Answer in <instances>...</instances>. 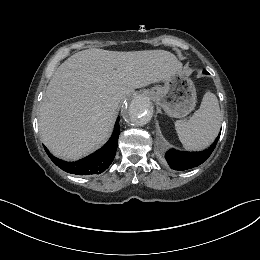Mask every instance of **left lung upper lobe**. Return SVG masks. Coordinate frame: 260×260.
Instances as JSON below:
<instances>
[{"instance_id":"1","label":"left lung upper lobe","mask_w":260,"mask_h":260,"mask_svg":"<svg viewBox=\"0 0 260 260\" xmlns=\"http://www.w3.org/2000/svg\"><path fill=\"white\" fill-rule=\"evenodd\" d=\"M204 73H205V74H208V72H207V71H204Z\"/></svg>"}]
</instances>
